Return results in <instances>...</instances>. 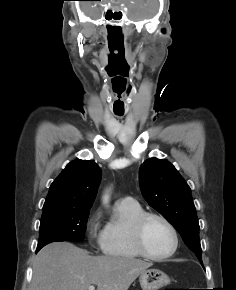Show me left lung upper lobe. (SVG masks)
<instances>
[{
    "instance_id": "5c2ea615",
    "label": "left lung upper lobe",
    "mask_w": 236,
    "mask_h": 290,
    "mask_svg": "<svg viewBox=\"0 0 236 290\" xmlns=\"http://www.w3.org/2000/svg\"><path fill=\"white\" fill-rule=\"evenodd\" d=\"M143 197L180 233L184 243L201 260L199 223L191 190L168 161L151 158L140 167Z\"/></svg>"
}]
</instances>
